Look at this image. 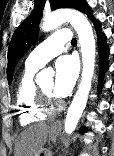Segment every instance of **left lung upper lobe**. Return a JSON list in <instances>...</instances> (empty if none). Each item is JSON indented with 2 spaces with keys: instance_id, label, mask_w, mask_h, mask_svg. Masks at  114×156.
I'll use <instances>...</instances> for the list:
<instances>
[{
  "instance_id": "obj_1",
  "label": "left lung upper lobe",
  "mask_w": 114,
  "mask_h": 156,
  "mask_svg": "<svg viewBox=\"0 0 114 156\" xmlns=\"http://www.w3.org/2000/svg\"><path fill=\"white\" fill-rule=\"evenodd\" d=\"M51 9L74 8L86 13L90 7L85 0H50ZM45 0H35V7L31 15L24 20L12 36L8 47L7 77L12 81V73L18 60L28 51L38 37V25L42 17Z\"/></svg>"
}]
</instances>
